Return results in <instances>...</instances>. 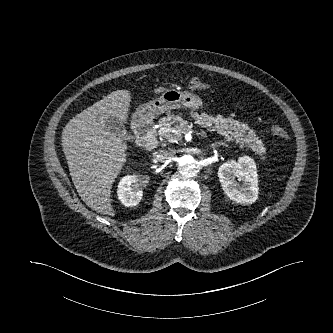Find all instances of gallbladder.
I'll return each mask as SVG.
<instances>
[{
    "label": "gallbladder",
    "instance_id": "1",
    "mask_svg": "<svg viewBox=\"0 0 333 333\" xmlns=\"http://www.w3.org/2000/svg\"><path fill=\"white\" fill-rule=\"evenodd\" d=\"M99 119L102 125L104 126L105 130L114 133L117 137H120L122 139H125L127 137V131L125 126L117 119L111 116L110 117L101 116Z\"/></svg>",
    "mask_w": 333,
    "mask_h": 333
}]
</instances>
